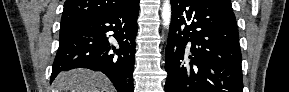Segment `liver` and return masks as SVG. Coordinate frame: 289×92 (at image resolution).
Returning a JSON list of instances; mask_svg holds the SVG:
<instances>
[{
	"label": "liver",
	"mask_w": 289,
	"mask_h": 92,
	"mask_svg": "<svg viewBox=\"0 0 289 92\" xmlns=\"http://www.w3.org/2000/svg\"><path fill=\"white\" fill-rule=\"evenodd\" d=\"M53 92H114L109 79L88 69L61 72L53 81Z\"/></svg>",
	"instance_id": "1"
}]
</instances>
